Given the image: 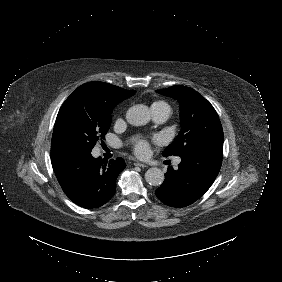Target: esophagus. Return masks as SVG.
I'll use <instances>...</instances> for the list:
<instances>
[{
	"instance_id": "obj_1",
	"label": "esophagus",
	"mask_w": 282,
	"mask_h": 282,
	"mask_svg": "<svg viewBox=\"0 0 282 282\" xmlns=\"http://www.w3.org/2000/svg\"><path fill=\"white\" fill-rule=\"evenodd\" d=\"M134 165L137 166V167H141V168H146L147 166L142 164V163H139V162H134Z\"/></svg>"
}]
</instances>
